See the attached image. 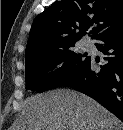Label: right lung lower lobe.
I'll return each mask as SVG.
<instances>
[{"instance_id":"obj_1","label":"right lung lower lobe","mask_w":123,"mask_h":130,"mask_svg":"<svg viewBox=\"0 0 123 130\" xmlns=\"http://www.w3.org/2000/svg\"><path fill=\"white\" fill-rule=\"evenodd\" d=\"M97 41V49L105 55L101 70L95 69L99 60L88 57L61 86L90 96L123 121V26L103 34Z\"/></svg>"}]
</instances>
